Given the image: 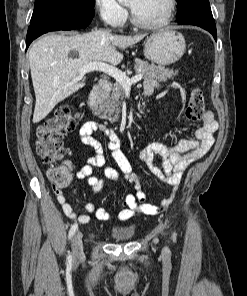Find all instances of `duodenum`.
Instances as JSON below:
<instances>
[{
  "label": "duodenum",
  "instance_id": "410a0bca",
  "mask_svg": "<svg viewBox=\"0 0 247 296\" xmlns=\"http://www.w3.org/2000/svg\"><path fill=\"white\" fill-rule=\"evenodd\" d=\"M111 89V83L108 80H99L94 86L88 99V110L90 113L97 112L98 103Z\"/></svg>",
  "mask_w": 247,
  "mask_h": 296
}]
</instances>
